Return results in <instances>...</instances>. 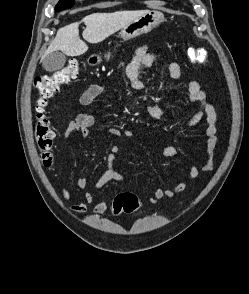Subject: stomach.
Here are the masks:
<instances>
[{
  "label": "stomach",
  "instance_id": "0dacf381",
  "mask_svg": "<svg viewBox=\"0 0 249 294\" xmlns=\"http://www.w3.org/2000/svg\"><path fill=\"white\" fill-rule=\"evenodd\" d=\"M164 21V16L158 11H147L144 15L134 20L127 26L122 28L121 36L124 40H129L138 37L142 34L149 33ZM111 54H105L107 60L110 59ZM93 60V59H92ZM94 61V60H93Z\"/></svg>",
  "mask_w": 249,
  "mask_h": 294
}]
</instances>
